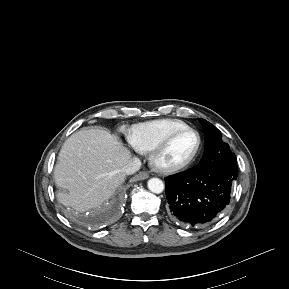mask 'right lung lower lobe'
I'll return each mask as SVG.
<instances>
[{
  "label": "right lung lower lobe",
  "instance_id": "obj_1",
  "mask_svg": "<svg viewBox=\"0 0 289 289\" xmlns=\"http://www.w3.org/2000/svg\"><path fill=\"white\" fill-rule=\"evenodd\" d=\"M112 215H113V211L106 213L104 216H105V217H110V216H112Z\"/></svg>",
  "mask_w": 289,
  "mask_h": 289
}]
</instances>
